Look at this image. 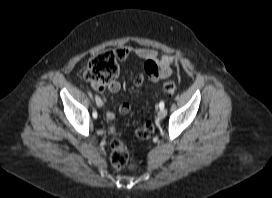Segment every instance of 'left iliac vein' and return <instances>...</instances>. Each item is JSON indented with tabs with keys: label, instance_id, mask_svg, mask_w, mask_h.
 Wrapping results in <instances>:
<instances>
[{
	"label": "left iliac vein",
	"instance_id": "4c4485c4",
	"mask_svg": "<svg viewBox=\"0 0 272 198\" xmlns=\"http://www.w3.org/2000/svg\"><path fill=\"white\" fill-rule=\"evenodd\" d=\"M166 114H167V110L166 109H161V110H159V112L157 114V117L159 119H164Z\"/></svg>",
	"mask_w": 272,
	"mask_h": 198
}]
</instances>
